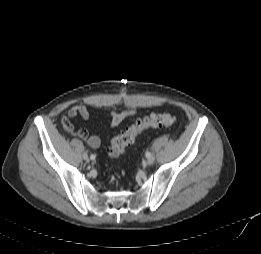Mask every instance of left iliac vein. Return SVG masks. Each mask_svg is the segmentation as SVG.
Returning a JSON list of instances; mask_svg holds the SVG:
<instances>
[{
    "label": "left iliac vein",
    "mask_w": 261,
    "mask_h": 254,
    "mask_svg": "<svg viewBox=\"0 0 261 254\" xmlns=\"http://www.w3.org/2000/svg\"><path fill=\"white\" fill-rule=\"evenodd\" d=\"M154 161H155V158H154L153 155H151L149 158H147L146 163H147L148 165H152V164L154 163Z\"/></svg>",
    "instance_id": "1"
}]
</instances>
